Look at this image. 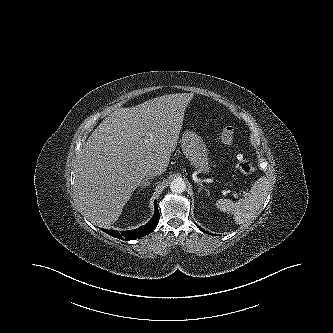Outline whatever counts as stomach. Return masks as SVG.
<instances>
[{
    "instance_id": "stomach-1",
    "label": "stomach",
    "mask_w": 333,
    "mask_h": 333,
    "mask_svg": "<svg viewBox=\"0 0 333 333\" xmlns=\"http://www.w3.org/2000/svg\"><path fill=\"white\" fill-rule=\"evenodd\" d=\"M181 147L185 157L197 171L209 172L208 152L201 136L192 130H185L182 133Z\"/></svg>"
}]
</instances>
